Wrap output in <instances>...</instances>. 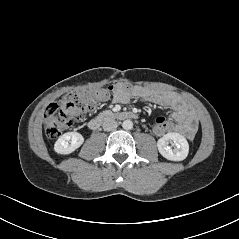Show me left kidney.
Segmentation results:
<instances>
[{
  "label": "left kidney",
  "mask_w": 239,
  "mask_h": 239,
  "mask_svg": "<svg viewBox=\"0 0 239 239\" xmlns=\"http://www.w3.org/2000/svg\"><path fill=\"white\" fill-rule=\"evenodd\" d=\"M172 143L174 149L169 146ZM160 154L171 161H182L189 153V144L186 138L178 133L170 132L157 141Z\"/></svg>",
  "instance_id": "1"
}]
</instances>
